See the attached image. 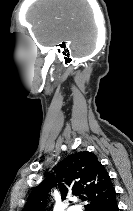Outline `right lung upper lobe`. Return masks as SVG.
<instances>
[{
  "instance_id": "cb5924a9",
  "label": "right lung upper lobe",
  "mask_w": 133,
  "mask_h": 211,
  "mask_svg": "<svg viewBox=\"0 0 133 211\" xmlns=\"http://www.w3.org/2000/svg\"><path fill=\"white\" fill-rule=\"evenodd\" d=\"M53 174L35 187L23 211H44L47 197L54 186H58L62 198L67 195L85 194L89 201L85 211H95L102 205L116 200L115 189L105 167L91 152H78L66 157Z\"/></svg>"
}]
</instances>
